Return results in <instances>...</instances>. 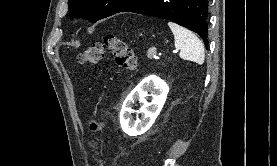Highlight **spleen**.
<instances>
[{
    "mask_svg": "<svg viewBox=\"0 0 277 166\" xmlns=\"http://www.w3.org/2000/svg\"><path fill=\"white\" fill-rule=\"evenodd\" d=\"M168 26L174 35L175 47L180 51V58L203 64L205 50L200 39L190 30L174 22H168Z\"/></svg>",
    "mask_w": 277,
    "mask_h": 166,
    "instance_id": "1",
    "label": "spleen"
}]
</instances>
